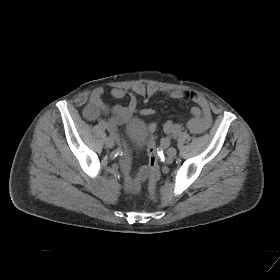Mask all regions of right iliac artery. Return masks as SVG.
Segmentation results:
<instances>
[{
    "label": "right iliac artery",
    "instance_id": "1",
    "mask_svg": "<svg viewBox=\"0 0 280 280\" xmlns=\"http://www.w3.org/2000/svg\"><path fill=\"white\" fill-rule=\"evenodd\" d=\"M99 126H100L101 129H106L108 127V124L105 120H101L99 122Z\"/></svg>",
    "mask_w": 280,
    "mask_h": 280
}]
</instances>
